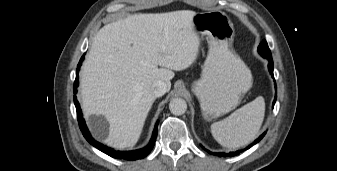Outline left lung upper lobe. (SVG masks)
Listing matches in <instances>:
<instances>
[{
	"mask_svg": "<svg viewBox=\"0 0 337 171\" xmlns=\"http://www.w3.org/2000/svg\"><path fill=\"white\" fill-rule=\"evenodd\" d=\"M258 52L263 56V57H272L271 56V52L270 49L268 47V44L266 42V40H263L259 47H258Z\"/></svg>",
	"mask_w": 337,
	"mask_h": 171,
	"instance_id": "left-lung-upper-lobe-1",
	"label": "left lung upper lobe"
}]
</instances>
